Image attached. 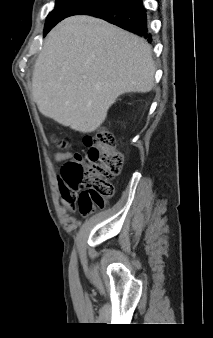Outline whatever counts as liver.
Here are the masks:
<instances>
[{
	"label": "liver",
	"mask_w": 213,
	"mask_h": 338,
	"mask_svg": "<svg viewBox=\"0 0 213 338\" xmlns=\"http://www.w3.org/2000/svg\"><path fill=\"white\" fill-rule=\"evenodd\" d=\"M152 48L142 38L90 16L69 17L47 35L34 65L33 100L63 126L90 133L116 99L154 86Z\"/></svg>",
	"instance_id": "obj_1"
}]
</instances>
